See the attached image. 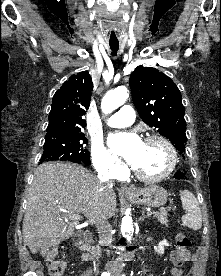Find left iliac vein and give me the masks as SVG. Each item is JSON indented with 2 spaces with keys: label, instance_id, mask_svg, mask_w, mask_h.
<instances>
[{
  "label": "left iliac vein",
  "instance_id": "obj_1",
  "mask_svg": "<svg viewBox=\"0 0 221 276\" xmlns=\"http://www.w3.org/2000/svg\"><path fill=\"white\" fill-rule=\"evenodd\" d=\"M113 276H119L118 272H113Z\"/></svg>",
  "mask_w": 221,
  "mask_h": 276
}]
</instances>
